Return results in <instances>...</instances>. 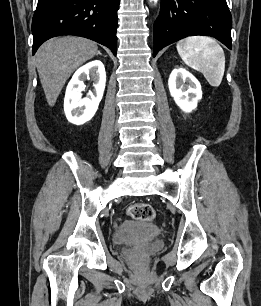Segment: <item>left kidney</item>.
Returning <instances> with one entry per match:
<instances>
[{"label":"left kidney","instance_id":"obj_1","mask_svg":"<svg viewBox=\"0 0 261 306\" xmlns=\"http://www.w3.org/2000/svg\"><path fill=\"white\" fill-rule=\"evenodd\" d=\"M171 96L175 103L184 112H191L197 107L202 98L201 85L199 81L183 68L174 69L168 80Z\"/></svg>","mask_w":261,"mask_h":306}]
</instances>
